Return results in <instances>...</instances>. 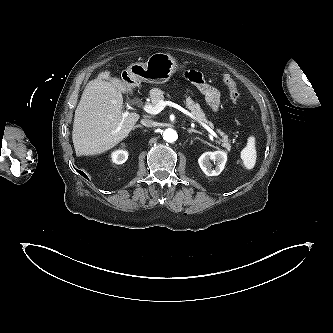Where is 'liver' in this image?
I'll use <instances>...</instances> for the list:
<instances>
[{
    "label": "liver",
    "mask_w": 333,
    "mask_h": 333,
    "mask_svg": "<svg viewBox=\"0 0 333 333\" xmlns=\"http://www.w3.org/2000/svg\"><path fill=\"white\" fill-rule=\"evenodd\" d=\"M127 91L128 85L118 78H110L109 71L100 72L87 83L75 110L72 132L78 156L102 153L128 136L140 115L128 112L123 118L122 94Z\"/></svg>",
    "instance_id": "obj_1"
}]
</instances>
